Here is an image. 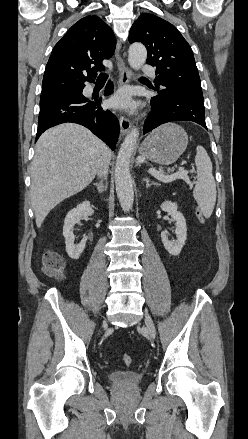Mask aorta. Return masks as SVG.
Returning a JSON list of instances; mask_svg holds the SVG:
<instances>
[{"instance_id": "obj_1", "label": "aorta", "mask_w": 248, "mask_h": 439, "mask_svg": "<svg viewBox=\"0 0 248 439\" xmlns=\"http://www.w3.org/2000/svg\"><path fill=\"white\" fill-rule=\"evenodd\" d=\"M147 50L141 43H133L129 47L128 62L131 68L139 70L145 63ZM139 137V129L133 127L119 149L115 165V186L120 206L129 212L134 202L133 180L130 174V159Z\"/></svg>"}]
</instances>
